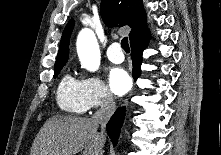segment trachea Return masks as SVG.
<instances>
[{
    "mask_svg": "<svg viewBox=\"0 0 221 155\" xmlns=\"http://www.w3.org/2000/svg\"><path fill=\"white\" fill-rule=\"evenodd\" d=\"M121 47L123 48V50L125 52H130V47H129V44H128V38L127 37H124L121 40Z\"/></svg>",
    "mask_w": 221,
    "mask_h": 155,
    "instance_id": "1",
    "label": "trachea"
}]
</instances>
